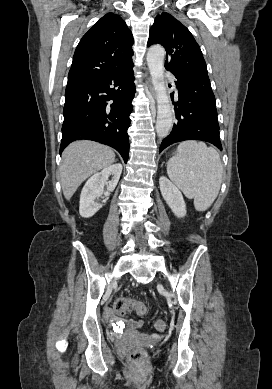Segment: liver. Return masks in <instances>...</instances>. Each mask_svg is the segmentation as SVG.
<instances>
[{
    "instance_id": "1",
    "label": "liver",
    "mask_w": 272,
    "mask_h": 389,
    "mask_svg": "<svg viewBox=\"0 0 272 389\" xmlns=\"http://www.w3.org/2000/svg\"><path fill=\"white\" fill-rule=\"evenodd\" d=\"M60 179L64 197L73 196L81 183L115 161V153L105 145L93 141H76L63 152Z\"/></svg>"
}]
</instances>
